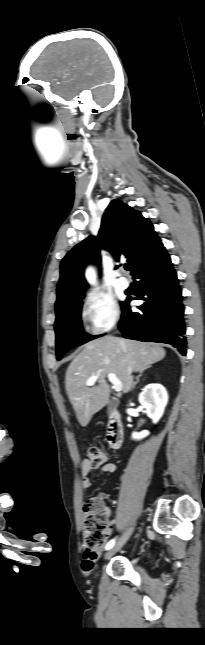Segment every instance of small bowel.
<instances>
[{"label": "small bowel", "mask_w": 205, "mask_h": 645, "mask_svg": "<svg viewBox=\"0 0 205 645\" xmlns=\"http://www.w3.org/2000/svg\"><path fill=\"white\" fill-rule=\"evenodd\" d=\"M94 467L87 459L83 460L81 463V486L84 490L88 489L91 486V479L89 477V474L95 469ZM101 471L106 472V473H113L116 470V465L114 463H106L101 466ZM106 515H110V510L106 509ZM102 548L97 549L95 552H89L85 551L84 553V559L83 563L88 566V568H92L98 554L101 552Z\"/></svg>", "instance_id": "c3829d8e"}]
</instances>
